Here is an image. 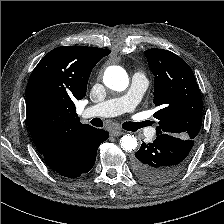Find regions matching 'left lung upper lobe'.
<instances>
[{
  "label": "left lung upper lobe",
  "mask_w": 224,
  "mask_h": 224,
  "mask_svg": "<svg viewBox=\"0 0 224 224\" xmlns=\"http://www.w3.org/2000/svg\"><path fill=\"white\" fill-rule=\"evenodd\" d=\"M145 55L155 76L156 134L194 140L201 129L203 103L191 68L167 50L148 49Z\"/></svg>",
  "instance_id": "left-lung-upper-lobe-1"
}]
</instances>
